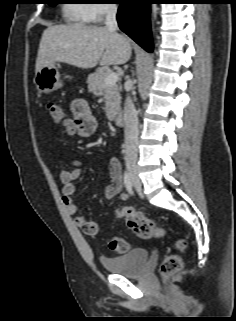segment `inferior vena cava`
<instances>
[{
    "label": "inferior vena cava",
    "mask_w": 236,
    "mask_h": 321,
    "mask_svg": "<svg viewBox=\"0 0 236 321\" xmlns=\"http://www.w3.org/2000/svg\"><path fill=\"white\" fill-rule=\"evenodd\" d=\"M117 7L115 4H109L105 7V26L115 32L118 29ZM124 121H125V156L126 158H136L138 144V117L135 106L128 95L124 106Z\"/></svg>",
    "instance_id": "602c4592"
}]
</instances>
